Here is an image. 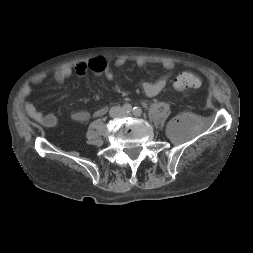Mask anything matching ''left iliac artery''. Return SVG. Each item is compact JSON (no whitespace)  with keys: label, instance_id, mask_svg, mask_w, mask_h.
I'll use <instances>...</instances> for the list:
<instances>
[{"label":"left iliac artery","instance_id":"obj_1","mask_svg":"<svg viewBox=\"0 0 253 253\" xmlns=\"http://www.w3.org/2000/svg\"><path fill=\"white\" fill-rule=\"evenodd\" d=\"M133 114L135 116H140L142 114V109L140 107H134L133 108Z\"/></svg>","mask_w":253,"mask_h":253}]
</instances>
